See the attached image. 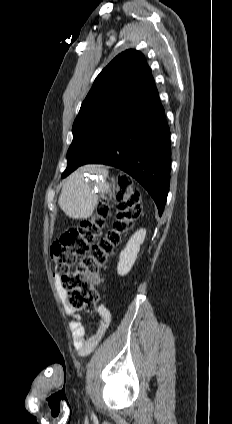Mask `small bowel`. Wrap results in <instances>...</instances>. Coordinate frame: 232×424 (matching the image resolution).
<instances>
[{
    "label": "small bowel",
    "instance_id": "small-bowel-1",
    "mask_svg": "<svg viewBox=\"0 0 232 424\" xmlns=\"http://www.w3.org/2000/svg\"><path fill=\"white\" fill-rule=\"evenodd\" d=\"M59 292L60 287L57 285ZM73 319L69 323L72 334L73 345L82 356L88 355L100 343L111 322V313L105 305H99L96 312L98 321L96 330L88 334L83 325L82 316L73 310H69Z\"/></svg>",
    "mask_w": 232,
    "mask_h": 424
}]
</instances>
